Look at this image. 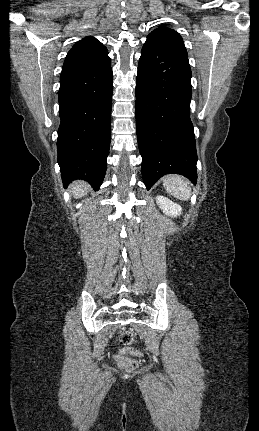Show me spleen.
<instances>
[{"label": "spleen", "instance_id": "spleen-1", "mask_svg": "<svg viewBox=\"0 0 259 431\" xmlns=\"http://www.w3.org/2000/svg\"><path fill=\"white\" fill-rule=\"evenodd\" d=\"M165 190L179 200H188L191 194L189 182L179 175H167L163 178Z\"/></svg>", "mask_w": 259, "mask_h": 431}]
</instances>
